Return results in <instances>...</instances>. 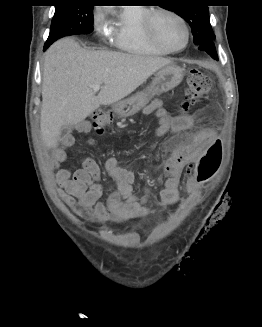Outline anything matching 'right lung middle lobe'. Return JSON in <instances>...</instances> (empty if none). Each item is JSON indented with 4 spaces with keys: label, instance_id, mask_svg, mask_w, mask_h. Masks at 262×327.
<instances>
[{
    "label": "right lung middle lobe",
    "instance_id": "1",
    "mask_svg": "<svg viewBox=\"0 0 262 327\" xmlns=\"http://www.w3.org/2000/svg\"><path fill=\"white\" fill-rule=\"evenodd\" d=\"M77 3V0L62 1L55 6V14L44 49L61 37L91 33L93 30V6H83Z\"/></svg>",
    "mask_w": 262,
    "mask_h": 327
}]
</instances>
